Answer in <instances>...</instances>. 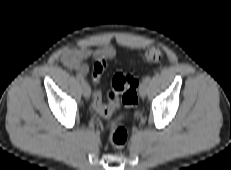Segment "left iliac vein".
Returning <instances> with one entry per match:
<instances>
[{"instance_id": "4c4485c4", "label": "left iliac vein", "mask_w": 231, "mask_h": 170, "mask_svg": "<svg viewBox=\"0 0 231 170\" xmlns=\"http://www.w3.org/2000/svg\"><path fill=\"white\" fill-rule=\"evenodd\" d=\"M147 86H148V83L145 82L144 80L140 83L139 94H140L141 98H144L146 96V94H147Z\"/></svg>"}]
</instances>
